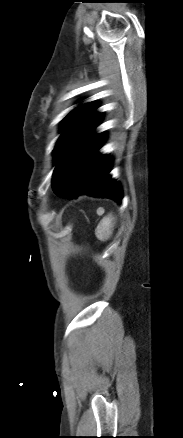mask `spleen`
<instances>
[{"mask_svg":"<svg viewBox=\"0 0 183 438\" xmlns=\"http://www.w3.org/2000/svg\"><path fill=\"white\" fill-rule=\"evenodd\" d=\"M114 220L115 218L110 213L99 222L97 228L95 229V235L98 240L104 242L111 237L115 225Z\"/></svg>","mask_w":183,"mask_h":438,"instance_id":"1","label":"spleen"}]
</instances>
